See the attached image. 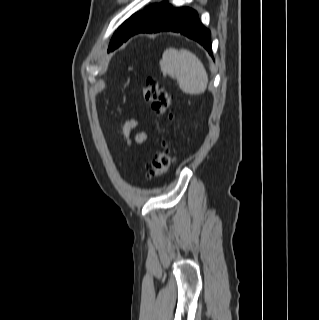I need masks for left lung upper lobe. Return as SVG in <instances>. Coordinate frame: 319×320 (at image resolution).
<instances>
[{
  "instance_id": "left-lung-upper-lobe-1",
  "label": "left lung upper lobe",
  "mask_w": 319,
  "mask_h": 320,
  "mask_svg": "<svg viewBox=\"0 0 319 320\" xmlns=\"http://www.w3.org/2000/svg\"><path fill=\"white\" fill-rule=\"evenodd\" d=\"M151 7L145 9V12ZM143 14L144 12L135 13L128 20H126L121 27L118 28L110 42L108 51H113L124 42L126 35L129 33L134 24L143 16Z\"/></svg>"
}]
</instances>
